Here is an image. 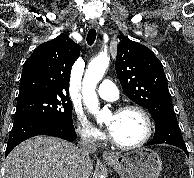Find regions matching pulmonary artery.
<instances>
[{
	"mask_svg": "<svg viewBox=\"0 0 194 178\" xmlns=\"http://www.w3.org/2000/svg\"><path fill=\"white\" fill-rule=\"evenodd\" d=\"M98 95L106 101H115L118 98V89L111 80H103L98 89Z\"/></svg>",
	"mask_w": 194,
	"mask_h": 178,
	"instance_id": "e3ab8cb5",
	"label": "pulmonary artery"
}]
</instances>
